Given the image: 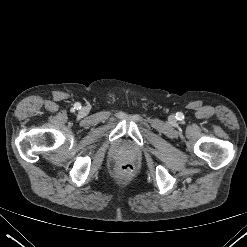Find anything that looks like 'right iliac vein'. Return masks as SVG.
Wrapping results in <instances>:
<instances>
[{
	"label": "right iliac vein",
	"mask_w": 247,
	"mask_h": 247,
	"mask_svg": "<svg viewBox=\"0 0 247 247\" xmlns=\"http://www.w3.org/2000/svg\"><path fill=\"white\" fill-rule=\"evenodd\" d=\"M86 113H87V110L83 108V109L81 110V114H82V115H85Z\"/></svg>",
	"instance_id": "1"
}]
</instances>
